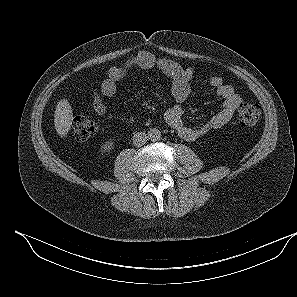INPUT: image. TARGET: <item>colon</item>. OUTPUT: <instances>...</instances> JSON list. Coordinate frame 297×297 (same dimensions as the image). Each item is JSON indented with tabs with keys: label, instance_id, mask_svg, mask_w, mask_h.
Here are the masks:
<instances>
[{
	"label": "colon",
	"instance_id": "5ec220e1",
	"mask_svg": "<svg viewBox=\"0 0 297 297\" xmlns=\"http://www.w3.org/2000/svg\"><path fill=\"white\" fill-rule=\"evenodd\" d=\"M261 117V108L257 104L244 103L238 109V120L243 126H254ZM74 136L83 140L91 137L96 131V124L85 116H76L72 121Z\"/></svg>",
	"mask_w": 297,
	"mask_h": 297
}]
</instances>
